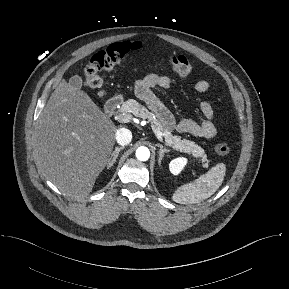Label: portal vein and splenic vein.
<instances>
[{
	"instance_id": "portal-vein-and-splenic-vein-1",
	"label": "portal vein and splenic vein",
	"mask_w": 289,
	"mask_h": 289,
	"mask_svg": "<svg viewBox=\"0 0 289 289\" xmlns=\"http://www.w3.org/2000/svg\"><path fill=\"white\" fill-rule=\"evenodd\" d=\"M118 120H119L120 122H122V123H128V122L131 121V115L125 114V113L120 114V115H118ZM149 122H150V121H149ZM150 124H151V127H152V129H153L156 137H157L160 141H162V136H163V135H162V132L153 124V122H150Z\"/></svg>"
}]
</instances>
